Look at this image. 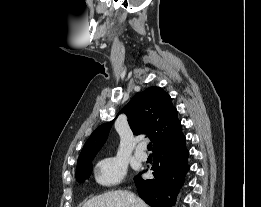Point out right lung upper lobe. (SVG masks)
<instances>
[{
	"mask_svg": "<svg viewBox=\"0 0 261 207\" xmlns=\"http://www.w3.org/2000/svg\"><path fill=\"white\" fill-rule=\"evenodd\" d=\"M121 112L127 115L135 135H149L154 151L183 137L177 109L172 105L171 97L159 87H149L137 93ZM112 125L113 121L101 124L95 129L85 143L77 164L95 157L106 141Z\"/></svg>",
	"mask_w": 261,
	"mask_h": 207,
	"instance_id": "obj_1",
	"label": "right lung upper lobe"
}]
</instances>
